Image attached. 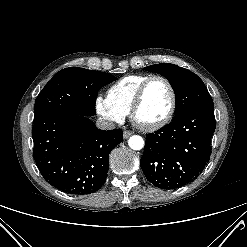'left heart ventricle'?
I'll return each mask as SVG.
<instances>
[{"label": "left heart ventricle", "instance_id": "1", "mask_svg": "<svg viewBox=\"0 0 247 247\" xmlns=\"http://www.w3.org/2000/svg\"><path fill=\"white\" fill-rule=\"evenodd\" d=\"M170 104L171 94L167 84L162 80H154L147 88L137 119L145 124L157 122L166 115Z\"/></svg>", "mask_w": 247, "mask_h": 247}]
</instances>
